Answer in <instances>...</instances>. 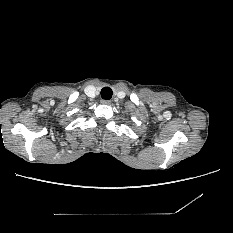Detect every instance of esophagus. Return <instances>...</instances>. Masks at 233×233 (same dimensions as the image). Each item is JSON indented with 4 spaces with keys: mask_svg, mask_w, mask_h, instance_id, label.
Returning a JSON list of instances; mask_svg holds the SVG:
<instances>
[{
    "mask_svg": "<svg viewBox=\"0 0 233 233\" xmlns=\"http://www.w3.org/2000/svg\"><path fill=\"white\" fill-rule=\"evenodd\" d=\"M101 103L102 104H106V105H109L110 103H111V101L110 100H101Z\"/></svg>",
    "mask_w": 233,
    "mask_h": 233,
    "instance_id": "obj_1",
    "label": "esophagus"
}]
</instances>
